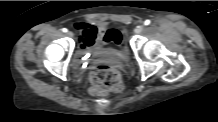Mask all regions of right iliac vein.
I'll return each instance as SVG.
<instances>
[{"instance_id": "obj_1", "label": "right iliac vein", "mask_w": 218, "mask_h": 122, "mask_svg": "<svg viewBox=\"0 0 218 122\" xmlns=\"http://www.w3.org/2000/svg\"><path fill=\"white\" fill-rule=\"evenodd\" d=\"M66 35H67L68 37H73V33H72L71 31H68V32L66 33Z\"/></svg>"}]
</instances>
